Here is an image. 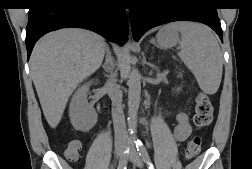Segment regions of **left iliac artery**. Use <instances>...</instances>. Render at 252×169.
Returning a JSON list of instances; mask_svg holds the SVG:
<instances>
[{
    "label": "left iliac artery",
    "mask_w": 252,
    "mask_h": 169,
    "mask_svg": "<svg viewBox=\"0 0 252 169\" xmlns=\"http://www.w3.org/2000/svg\"><path fill=\"white\" fill-rule=\"evenodd\" d=\"M137 151L139 152V155L142 157L143 161L147 164L148 169H154V166L150 160V157L148 155V152L143 145V143L140 140L135 141Z\"/></svg>",
    "instance_id": "obj_1"
}]
</instances>
